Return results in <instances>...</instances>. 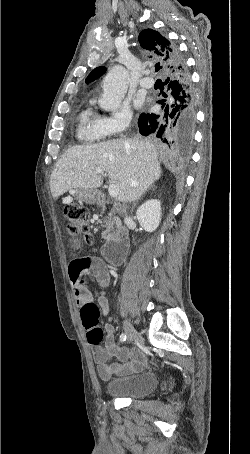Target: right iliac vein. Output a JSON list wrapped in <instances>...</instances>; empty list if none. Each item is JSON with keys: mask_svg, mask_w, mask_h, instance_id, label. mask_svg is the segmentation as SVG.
<instances>
[{"mask_svg": "<svg viewBox=\"0 0 250 454\" xmlns=\"http://www.w3.org/2000/svg\"><path fill=\"white\" fill-rule=\"evenodd\" d=\"M123 326L129 342H132L134 339L138 338V335L129 321L123 320Z\"/></svg>", "mask_w": 250, "mask_h": 454, "instance_id": "obj_1", "label": "right iliac vein"}]
</instances>
